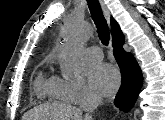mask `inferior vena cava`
Wrapping results in <instances>:
<instances>
[{
	"label": "inferior vena cava",
	"mask_w": 165,
	"mask_h": 120,
	"mask_svg": "<svg viewBox=\"0 0 165 120\" xmlns=\"http://www.w3.org/2000/svg\"><path fill=\"white\" fill-rule=\"evenodd\" d=\"M102 102V98L94 95L89 94L83 104L81 105V109L86 112L84 120H91V113L98 107V105Z\"/></svg>",
	"instance_id": "inferior-vena-cava-1"
}]
</instances>
